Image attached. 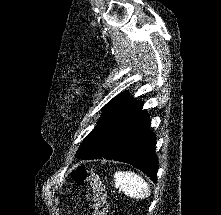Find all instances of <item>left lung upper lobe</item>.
<instances>
[{
	"mask_svg": "<svg viewBox=\"0 0 221 215\" xmlns=\"http://www.w3.org/2000/svg\"><path fill=\"white\" fill-rule=\"evenodd\" d=\"M135 105L136 102L129 94L115 97L104 109L103 115L79 147L76 156L80 159L100 158L113 129Z\"/></svg>",
	"mask_w": 221,
	"mask_h": 215,
	"instance_id": "left-lung-upper-lobe-1",
	"label": "left lung upper lobe"
}]
</instances>
